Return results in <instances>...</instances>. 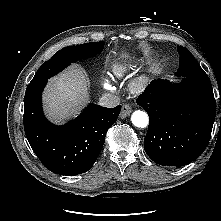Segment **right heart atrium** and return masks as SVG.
<instances>
[{
  "mask_svg": "<svg viewBox=\"0 0 221 221\" xmlns=\"http://www.w3.org/2000/svg\"><path fill=\"white\" fill-rule=\"evenodd\" d=\"M104 85L107 87V88H111V86L109 85V82L107 79L104 80Z\"/></svg>",
  "mask_w": 221,
  "mask_h": 221,
  "instance_id": "right-heart-atrium-1",
  "label": "right heart atrium"
}]
</instances>
